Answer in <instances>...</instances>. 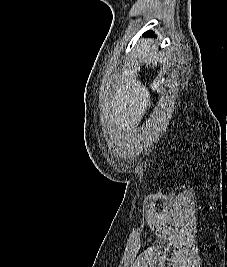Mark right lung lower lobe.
Here are the masks:
<instances>
[{
  "mask_svg": "<svg viewBox=\"0 0 227 267\" xmlns=\"http://www.w3.org/2000/svg\"><path fill=\"white\" fill-rule=\"evenodd\" d=\"M144 36H154V34L151 31H148L144 33Z\"/></svg>",
  "mask_w": 227,
  "mask_h": 267,
  "instance_id": "right-lung-lower-lobe-1",
  "label": "right lung lower lobe"
}]
</instances>
